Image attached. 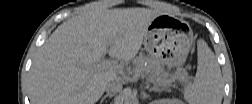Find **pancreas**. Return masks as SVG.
Instances as JSON below:
<instances>
[{"mask_svg":"<svg viewBox=\"0 0 252 104\" xmlns=\"http://www.w3.org/2000/svg\"><path fill=\"white\" fill-rule=\"evenodd\" d=\"M134 70L145 75L149 81L160 86H168L175 80L187 79V76L181 71H176L175 73L170 74L164 70L159 62H145L143 59L138 61Z\"/></svg>","mask_w":252,"mask_h":104,"instance_id":"cf45deb5","label":"pancreas"}]
</instances>
